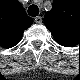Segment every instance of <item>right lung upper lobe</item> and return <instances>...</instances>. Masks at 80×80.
Wrapping results in <instances>:
<instances>
[{
	"instance_id": "obj_1",
	"label": "right lung upper lobe",
	"mask_w": 80,
	"mask_h": 80,
	"mask_svg": "<svg viewBox=\"0 0 80 80\" xmlns=\"http://www.w3.org/2000/svg\"><path fill=\"white\" fill-rule=\"evenodd\" d=\"M0 18V43L7 48L15 46L21 40L24 30L33 23L15 1L2 9Z\"/></svg>"
}]
</instances>
